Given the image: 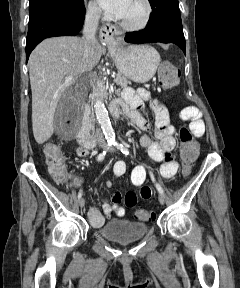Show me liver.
Masks as SVG:
<instances>
[{
	"label": "liver",
	"mask_w": 240,
	"mask_h": 288,
	"mask_svg": "<svg viewBox=\"0 0 240 288\" xmlns=\"http://www.w3.org/2000/svg\"><path fill=\"white\" fill-rule=\"evenodd\" d=\"M83 45L78 37L48 38L30 55L32 127L38 144L46 142L54 132V113L63 92L99 63L104 49L98 41L88 58H84ZM67 77L72 80L66 81Z\"/></svg>",
	"instance_id": "1"
}]
</instances>
